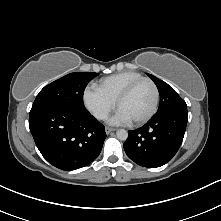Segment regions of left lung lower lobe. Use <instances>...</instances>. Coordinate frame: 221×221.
I'll return each instance as SVG.
<instances>
[{"instance_id":"obj_1","label":"left lung lower lobe","mask_w":221,"mask_h":221,"mask_svg":"<svg viewBox=\"0 0 221 221\" xmlns=\"http://www.w3.org/2000/svg\"><path fill=\"white\" fill-rule=\"evenodd\" d=\"M187 109L152 117L144 126L130 130L124 143L127 156L140 166L160 167L178 151L187 125Z\"/></svg>"}]
</instances>
